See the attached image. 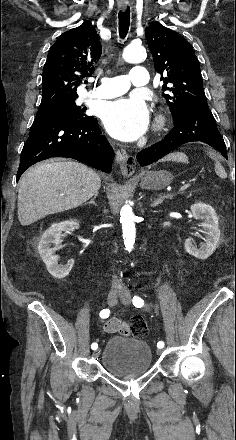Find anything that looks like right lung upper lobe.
Here are the masks:
<instances>
[{
	"mask_svg": "<svg viewBox=\"0 0 236 440\" xmlns=\"http://www.w3.org/2000/svg\"><path fill=\"white\" fill-rule=\"evenodd\" d=\"M102 48L90 21L59 36L48 52L42 76L40 106L76 100L77 86L94 72Z\"/></svg>",
	"mask_w": 236,
	"mask_h": 440,
	"instance_id": "right-lung-upper-lobe-1",
	"label": "right lung upper lobe"
}]
</instances>
